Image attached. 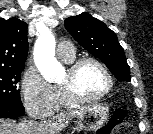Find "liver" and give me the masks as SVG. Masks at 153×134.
Listing matches in <instances>:
<instances>
[{"instance_id": "1", "label": "liver", "mask_w": 153, "mask_h": 134, "mask_svg": "<svg viewBox=\"0 0 153 134\" xmlns=\"http://www.w3.org/2000/svg\"><path fill=\"white\" fill-rule=\"evenodd\" d=\"M82 108L77 110H68L62 112L57 117V122L54 124V129L61 130L64 128L75 116H78ZM51 124L36 123V122H16L14 120H6L0 118V134H47L51 132Z\"/></svg>"}]
</instances>
